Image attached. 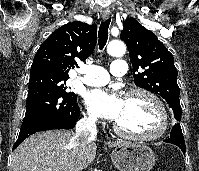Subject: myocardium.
I'll list each match as a JSON object with an SVG mask.
<instances>
[{
    "instance_id": "obj_1",
    "label": "myocardium",
    "mask_w": 199,
    "mask_h": 171,
    "mask_svg": "<svg viewBox=\"0 0 199 171\" xmlns=\"http://www.w3.org/2000/svg\"><path fill=\"white\" fill-rule=\"evenodd\" d=\"M135 94H141L148 97L154 104L160 118V126L158 130L152 134L131 133L123 130L116 122H114L113 125L114 131L120 136L139 141H152L161 138L166 133L169 125L168 113L165 108V105L155 93L143 87L130 88L129 90L126 91L124 98L130 97Z\"/></svg>"
}]
</instances>
